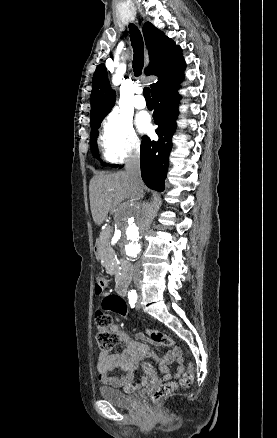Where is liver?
<instances>
[{
    "mask_svg": "<svg viewBox=\"0 0 277 438\" xmlns=\"http://www.w3.org/2000/svg\"><path fill=\"white\" fill-rule=\"evenodd\" d=\"M141 188L144 190V184ZM142 190L131 188L126 172H117V174H108V176H94L89 186L93 222L101 226L112 206L119 214L120 205H139L137 200L141 198ZM123 200H127V202H123Z\"/></svg>",
    "mask_w": 277,
    "mask_h": 438,
    "instance_id": "obj_1",
    "label": "liver"
}]
</instances>
